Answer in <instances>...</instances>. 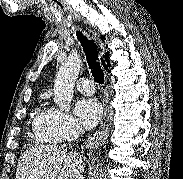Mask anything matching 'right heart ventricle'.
Returning a JSON list of instances; mask_svg holds the SVG:
<instances>
[{"mask_svg":"<svg viewBox=\"0 0 183 179\" xmlns=\"http://www.w3.org/2000/svg\"><path fill=\"white\" fill-rule=\"evenodd\" d=\"M46 111L37 113L33 120V128L38 133L40 140L44 142H47L50 140L41 129L42 120Z\"/></svg>","mask_w":183,"mask_h":179,"instance_id":"right-heart-ventricle-1","label":"right heart ventricle"}]
</instances>
